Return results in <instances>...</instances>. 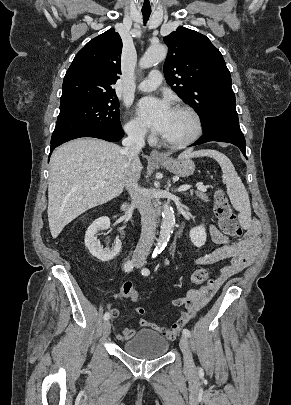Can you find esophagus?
<instances>
[{
  "instance_id": "obj_1",
  "label": "esophagus",
  "mask_w": 291,
  "mask_h": 405,
  "mask_svg": "<svg viewBox=\"0 0 291 405\" xmlns=\"http://www.w3.org/2000/svg\"><path fill=\"white\" fill-rule=\"evenodd\" d=\"M150 156H151L152 159H155V160H159V159L164 158V155L162 153H160L159 151H157V150H152L151 153H150Z\"/></svg>"
}]
</instances>
